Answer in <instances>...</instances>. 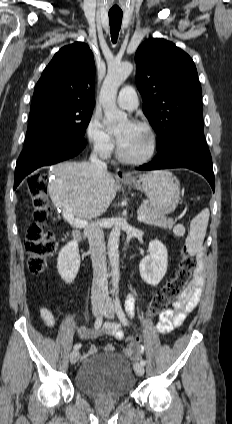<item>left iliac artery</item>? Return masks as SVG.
Wrapping results in <instances>:
<instances>
[{"label": "left iliac artery", "instance_id": "44dca946", "mask_svg": "<svg viewBox=\"0 0 232 424\" xmlns=\"http://www.w3.org/2000/svg\"><path fill=\"white\" fill-rule=\"evenodd\" d=\"M114 303H115V310H116V313L118 315V318L120 319V321L122 322V324L124 326H127L128 325V320H127V318H126V316H125V314L123 312V309H122L121 304H120V299H119V296L117 294L115 295V301H114ZM126 312L128 313V315L130 317H132L134 315V305L133 304H128L126 306ZM140 363L143 366H145L146 361L142 359L140 361Z\"/></svg>", "mask_w": 232, "mask_h": 424}]
</instances>
